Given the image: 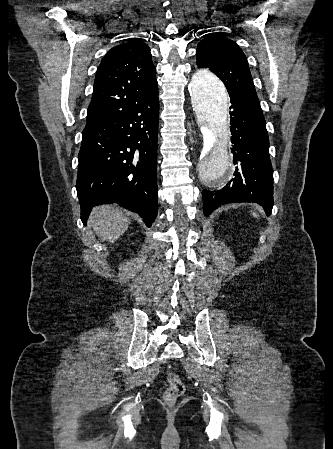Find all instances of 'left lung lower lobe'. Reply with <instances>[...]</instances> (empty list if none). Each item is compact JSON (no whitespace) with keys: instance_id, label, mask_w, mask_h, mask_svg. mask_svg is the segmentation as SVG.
<instances>
[{"instance_id":"obj_1","label":"left lung lower lobe","mask_w":333,"mask_h":449,"mask_svg":"<svg viewBox=\"0 0 333 449\" xmlns=\"http://www.w3.org/2000/svg\"><path fill=\"white\" fill-rule=\"evenodd\" d=\"M229 96L234 178L220 190H203L204 214L208 216L221 204L256 202L269 216L273 207V169L266 121L259 104L235 92Z\"/></svg>"}]
</instances>
